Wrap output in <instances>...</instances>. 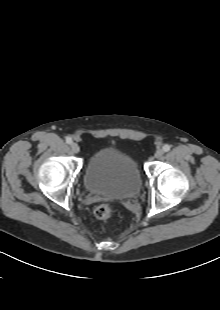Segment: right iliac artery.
I'll use <instances>...</instances> for the list:
<instances>
[{"mask_svg":"<svg viewBox=\"0 0 220 310\" xmlns=\"http://www.w3.org/2000/svg\"><path fill=\"white\" fill-rule=\"evenodd\" d=\"M65 141H66L67 144H71L73 142L72 138L69 137V136L65 138Z\"/></svg>","mask_w":220,"mask_h":310,"instance_id":"1","label":"right iliac artery"}]
</instances>
